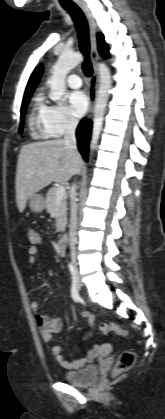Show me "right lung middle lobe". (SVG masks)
Instances as JSON below:
<instances>
[{
  "mask_svg": "<svg viewBox=\"0 0 165 419\" xmlns=\"http://www.w3.org/2000/svg\"><path fill=\"white\" fill-rule=\"evenodd\" d=\"M30 98H31V96H29V97H27V98L23 99V102H22V107H21V121H20V127H19V132H20V133L22 132V128H23V118H24V116H25V113H26V107H27V105H28V103H29V101H30Z\"/></svg>",
  "mask_w": 165,
  "mask_h": 419,
  "instance_id": "dd1d6c3e",
  "label": "right lung middle lobe"
}]
</instances>
